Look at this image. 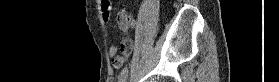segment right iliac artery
I'll list each match as a JSON object with an SVG mask.
<instances>
[{
  "label": "right iliac artery",
  "instance_id": "right-iliac-artery-1",
  "mask_svg": "<svg viewBox=\"0 0 279 82\" xmlns=\"http://www.w3.org/2000/svg\"><path fill=\"white\" fill-rule=\"evenodd\" d=\"M127 74H128V68L127 66L124 67L121 71V75H120V79H119V82H125V79L127 77Z\"/></svg>",
  "mask_w": 279,
  "mask_h": 82
}]
</instances>
